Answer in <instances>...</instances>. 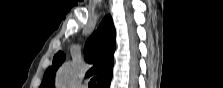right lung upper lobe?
<instances>
[{"instance_id": "right-lung-upper-lobe-1", "label": "right lung upper lobe", "mask_w": 223, "mask_h": 88, "mask_svg": "<svg viewBox=\"0 0 223 88\" xmlns=\"http://www.w3.org/2000/svg\"><path fill=\"white\" fill-rule=\"evenodd\" d=\"M116 31L110 15L105 16L98 30L88 38L84 47L85 60L94 63L87 72V76L97 75V85L112 78V67L114 65L113 54L115 51ZM65 60L62 52H57L53 58V64L44 74L40 88L55 87V72Z\"/></svg>"}]
</instances>
